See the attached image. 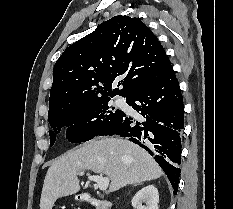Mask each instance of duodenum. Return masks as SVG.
<instances>
[{
    "label": "duodenum",
    "instance_id": "1",
    "mask_svg": "<svg viewBox=\"0 0 233 209\" xmlns=\"http://www.w3.org/2000/svg\"><path fill=\"white\" fill-rule=\"evenodd\" d=\"M81 201L95 207L96 209H110L112 206L110 201L97 199L90 194H83L81 196Z\"/></svg>",
    "mask_w": 233,
    "mask_h": 209
}]
</instances>
